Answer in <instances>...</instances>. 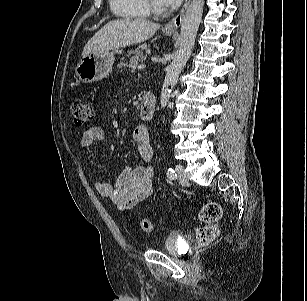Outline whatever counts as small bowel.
Returning <instances> with one entry per match:
<instances>
[{
	"label": "small bowel",
	"mask_w": 307,
	"mask_h": 301,
	"mask_svg": "<svg viewBox=\"0 0 307 301\" xmlns=\"http://www.w3.org/2000/svg\"><path fill=\"white\" fill-rule=\"evenodd\" d=\"M104 138L102 128L91 127L83 133L80 144L82 148L89 149L94 143L102 142ZM133 140L140 158L143 161H151L153 149L147 126L138 125L134 129ZM94 186L102 197L109 199L120 211H128L152 195L154 169L151 166L129 168L120 173L114 185L95 178Z\"/></svg>",
	"instance_id": "small-bowel-1"
}]
</instances>
